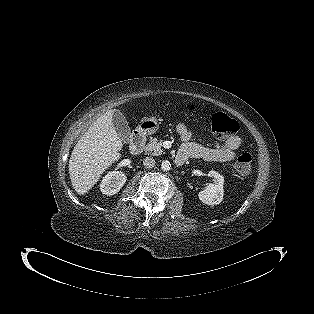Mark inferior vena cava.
I'll list each match as a JSON object with an SVG mask.
<instances>
[{
	"mask_svg": "<svg viewBox=\"0 0 314 314\" xmlns=\"http://www.w3.org/2000/svg\"><path fill=\"white\" fill-rule=\"evenodd\" d=\"M143 165L146 168H153L155 166V160L152 157H146L143 160Z\"/></svg>",
	"mask_w": 314,
	"mask_h": 314,
	"instance_id": "1",
	"label": "inferior vena cava"
}]
</instances>
